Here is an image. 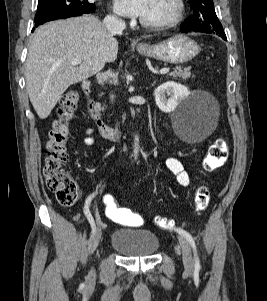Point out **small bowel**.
Here are the masks:
<instances>
[{"label":"small bowel","mask_w":267,"mask_h":301,"mask_svg":"<svg viewBox=\"0 0 267 301\" xmlns=\"http://www.w3.org/2000/svg\"><path fill=\"white\" fill-rule=\"evenodd\" d=\"M86 138H85V143L87 145H91L94 142V139L92 137V129H87L86 130ZM166 166L167 168L172 172V174L175 176L177 182L184 186L187 187L191 184V178L189 173L186 171L183 163L175 158V157H169L166 159ZM89 213L91 214V216L93 217V219L95 218L96 221L99 223V226L101 228H105V225L100 223V218H99V214L96 211L95 207L93 206L92 208L89 209ZM87 217V216H86ZM75 220H78L80 222H83L82 219H80L79 215L76 214L73 217ZM88 219V218H87Z\"/></svg>","instance_id":"1"}]
</instances>
